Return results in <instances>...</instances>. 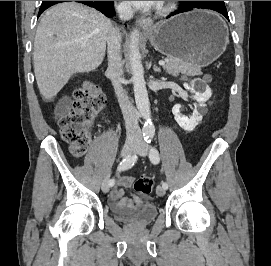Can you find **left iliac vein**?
I'll list each match as a JSON object with an SVG mask.
<instances>
[{
	"label": "left iliac vein",
	"instance_id": "4c4485c4",
	"mask_svg": "<svg viewBox=\"0 0 271 266\" xmlns=\"http://www.w3.org/2000/svg\"><path fill=\"white\" fill-rule=\"evenodd\" d=\"M135 153H137L138 155L140 156H146L147 153H148V149H147V146L144 145V144H139L137 149L134 151ZM165 188H163L162 186H158L156 188V193L158 196L162 197L165 195Z\"/></svg>",
	"mask_w": 271,
	"mask_h": 266
}]
</instances>
